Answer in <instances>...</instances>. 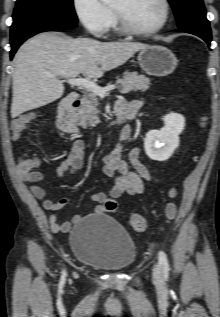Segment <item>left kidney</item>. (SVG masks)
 <instances>
[{
  "instance_id": "5707ae66",
  "label": "left kidney",
  "mask_w": 220,
  "mask_h": 317,
  "mask_svg": "<svg viewBox=\"0 0 220 317\" xmlns=\"http://www.w3.org/2000/svg\"><path fill=\"white\" fill-rule=\"evenodd\" d=\"M165 126L161 130H151L146 134L144 148L150 159L167 160L179 145V133L184 127V118L177 114L163 117Z\"/></svg>"
}]
</instances>
